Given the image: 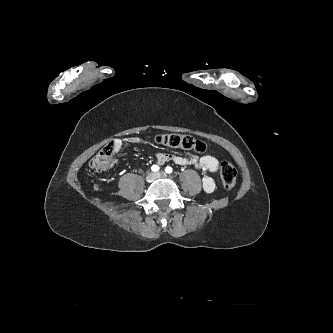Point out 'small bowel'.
I'll list each match as a JSON object with an SVG mask.
<instances>
[{
  "instance_id": "small-bowel-1",
  "label": "small bowel",
  "mask_w": 333,
  "mask_h": 333,
  "mask_svg": "<svg viewBox=\"0 0 333 333\" xmlns=\"http://www.w3.org/2000/svg\"><path fill=\"white\" fill-rule=\"evenodd\" d=\"M138 145L140 144V139L137 137H127L124 139H115L114 147L116 151L121 152L124 145ZM158 164H165L167 162H173L180 166L192 167L198 169L202 172V185L203 189L210 193L213 192L216 188V183L214 179L211 177V174H215L219 170V161L211 156H182L178 154H166L159 153L157 155Z\"/></svg>"
}]
</instances>
